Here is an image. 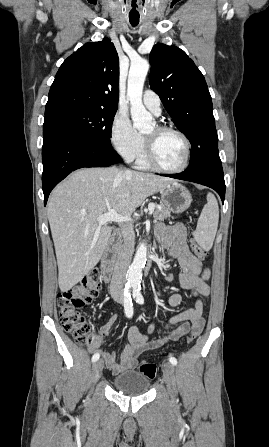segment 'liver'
<instances>
[{
	"label": "liver",
	"mask_w": 269,
	"mask_h": 447,
	"mask_svg": "<svg viewBox=\"0 0 269 447\" xmlns=\"http://www.w3.org/2000/svg\"><path fill=\"white\" fill-rule=\"evenodd\" d=\"M169 184V178L119 168H82L61 182L47 208L61 291L71 289L101 259L112 227L98 224L99 216L109 210L132 216L148 196Z\"/></svg>",
	"instance_id": "1"
}]
</instances>
